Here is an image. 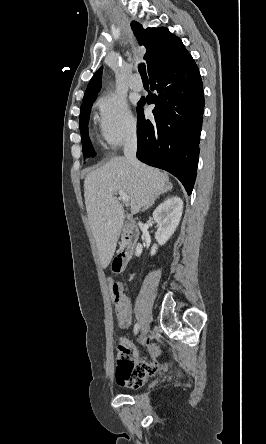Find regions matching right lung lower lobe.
Returning a JSON list of instances; mask_svg holds the SVG:
<instances>
[{
	"label": "right lung lower lobe",
	"instance_id": "obj_1",
	"mask_svg": "<svg viewBox=\"0 0 266 444\" xmlns=\"http://www.w3.org/2000/svg\"><path fill=\"white\" fill-rule=\"evenodd\" d=\"M151 94L148 104L155 103L154 121L145 119L138 103L137 158L176 176L191 194L198 165L200 133L204 110V93L199 70L193 58L149 75Z\"/></svg>",
	"mask_w": 266,
	"mask_h": 444
}]
</instances>
